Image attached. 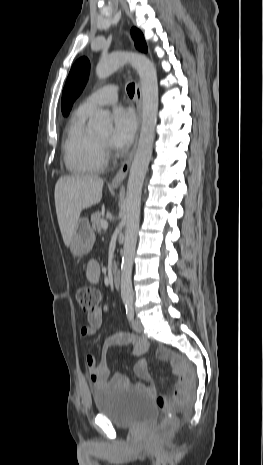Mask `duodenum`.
I'll return each mask as SVG.
<instances>
[{
  "mask_svg": "<svg viewBox=\"0 0 263 465\" xmlns=\"http://www.w3.org/2000/svg\"><path fill=\"white\" fill-rule=\"evenodd\" d=\"M113 284L115 286V288H120V285H121V274H120V271L115 269L113 270Z\"/></svg>",
  "mask_w": 263,
  "mask_h": 465,
  "instance_id": "duodenum-1",
  "label": "duodenum"
}]
</instances>
